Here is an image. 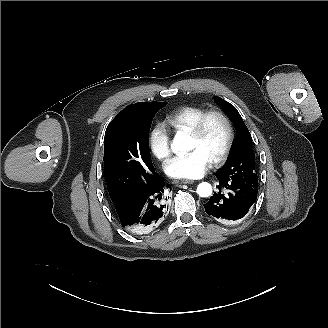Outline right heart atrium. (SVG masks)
Returning a JSON list of instances; mask_svg holds the SVG:
<instances>
[{
	"label": "right heart atrium",
	"instance_id": "right-heart-atrium-1",
	"mask_svg": "<svg viewBox=\"0 0 328 328\" xmlns=\"http://www.w3.org/2000/svg\"><path fill=\"white\" fill-rule=\"evenodd\" d=\"M150 152L160 160L167 159L171 153V139L167 126L162 121L154 122L148 133Z\"/></svg>",
	"mask_w": 328,
	"mask_h": 328
}]
</instances>
